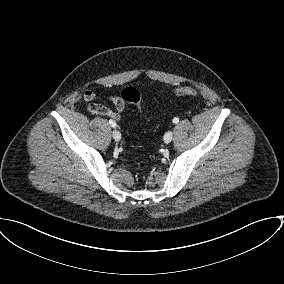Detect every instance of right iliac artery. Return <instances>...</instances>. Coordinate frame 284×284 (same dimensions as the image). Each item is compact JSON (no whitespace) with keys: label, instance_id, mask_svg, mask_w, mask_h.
Masks as SVG:
<instances>
[{"label":"right iliac artery","instance_id":"1","mask_svg":"<svg viewBox=\"0 0 284 284\" xmlns=\"http://www.w3.org/2000/svg\"><path fill=\"white\" fill-rule=\"evenodd\" d=\"M109 124L111 125V127H116V123H115V121L114 120H112V119H110L109 120Z\"/></svg>","mask_w":284,"mask_h":284}]
</instances>
